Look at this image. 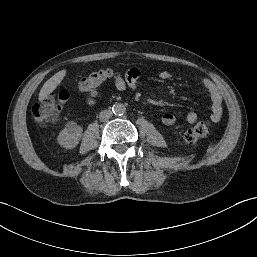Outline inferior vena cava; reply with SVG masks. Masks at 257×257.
Instances as JSON below:
<instances>
[{
	"instance_id": "inferior-vena-cava-1",
	"label": "inferior vena cava",
	"mask_w": 257,
	"mask_h": 257,
	"mask_svg": "<svg viewBox=\"0 0 257 257\" xmlns=\"http://www.w3.org/2000/svg\"><path fill=\"white\" fill-rule=\"evenodd\" d=\"M112 117V111L111 110H103L100 112L99 119L101 121H106Z\"/></svg>"
}]
</instances>
